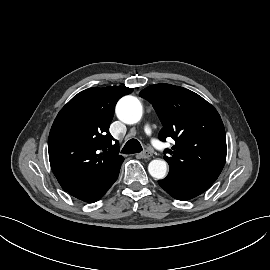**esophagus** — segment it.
I'll return each instance as SVG.
<instances>
[{
	"mask_svg": "<svg viewBox=\"0 0 270 270\" xmlns=\"http://www.w3.org/2000/svg\"><path fill=\"white\" fill-rule=\"evenodd\" d=\"M138 156L142 159H149L152 156V153L148 150H145L138 154Z\"/></svg>",
	"mask_w": 270,
	"mask_h": 270,
	"instance_id": "esophagus-1",
	"label": "esophagus"
}]
</instances>
